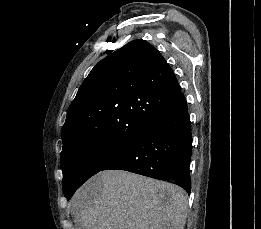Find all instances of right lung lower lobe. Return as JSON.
<instances>
[{"label": "right lung lower lobe", "mask_w": 261, "mask_h": 229, "mask_svg": "<svg viewBox=\"0 0 261 229\" xmlns=\"http://www.w3.org/2000/svg\"><path fill=\"white\" fill-rule=\"evenodd\" d=\"M191 155V122L185 97L180 93L125 151L102 170H126L171 182L190 194Z\"/></svg>", "instance_id": "obj_1"}]
</instances>
